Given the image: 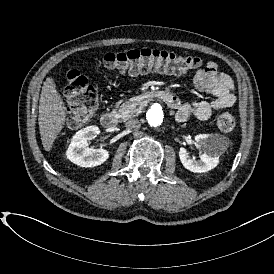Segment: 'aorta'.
I'll use <instances>...</instances> for the list:
<instances>
[{"instance_id":"obj_1","label":"aorta","mask_w":274,"mask_h":274,"mask_svg":"<svg viewBox=\"0 0 274 274\" xmlns=\"http://www.w3.org/2000/svg\"><path fill=\"white\" fill-rule=\"evenodd\" d=\"M146 119L151 127H162L166 121L162 106L158 103L153 104L146 113Z\"/></svg>"}]
</instances>
